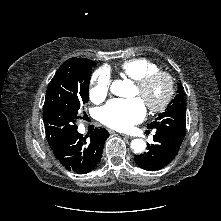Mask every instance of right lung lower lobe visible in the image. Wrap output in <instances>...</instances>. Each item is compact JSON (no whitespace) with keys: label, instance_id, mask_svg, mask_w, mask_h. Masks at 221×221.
Masks as SVG:
<instances>
[{"label":"right lung lower lobe","instance_id":"1","mask_svg":"<svg viewBox=\"0 0 221 221\" xmlns=\"http://www.w3.org/2000/svg\"><path fill=\"white\" fill-rule=\"evenodd\" d=\"M109 133L104 128H96L83 137L75 130L67 137L50 145L54 156L69 171L85 174L100 162L103 146Z\"/></svg>","mask_w":221,"mask_h":221}]
</instances>
